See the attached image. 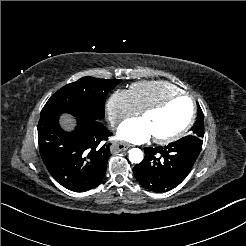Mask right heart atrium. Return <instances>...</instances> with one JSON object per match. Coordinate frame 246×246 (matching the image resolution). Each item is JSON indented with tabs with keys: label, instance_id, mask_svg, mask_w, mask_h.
Wrapping results in <instances>:
<instances>
[{
	"label": "right heart atrium",
	"instance_id": "right-heart-atrium-1",
	"mask_svg": "<svg viewBox=\"0 0 246 246\" xmlns=\"http://www.w3.org/2000/svg\"><path fill=\"white\" fill-rule=\"evenodd\" d=\"M108 120L116 124L136 114L130 94L126 90H115L106 104Z\"/></svg>",
	"mask_w": 246,
	"mask_h": 246
}]
</instances>
